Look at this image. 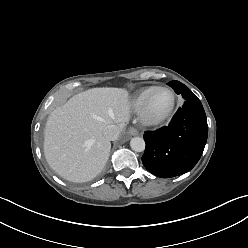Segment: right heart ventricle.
<instances>
[{"mask_svg":"<svg viewBox=\"0 0 248 248\" xmlns=\"http://www.w3.org/2000/svg\"><path fill=\"white\" fill-rule=\"evenodd\" d=\"M154 87H146L142 90H140L136 96L134 97L133 101H132V105L134 107L135 110H139L146 98V96L148 95V93L153 89Z\"/></svg>","mask_w":248,"mask_h":248,"instance_id":"e07e8e85","label":"right heart ventricle"}]
</instances>
